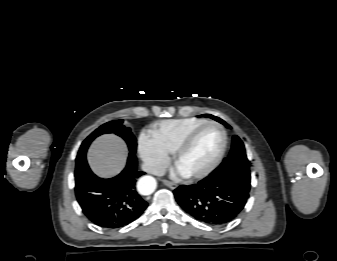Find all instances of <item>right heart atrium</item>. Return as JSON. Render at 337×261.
<instances>
[{
    "label": "right heart atrium",
    "instance_id": "1",
    "mask_svg": "<svg viewBox=\"0 0 337 261\" xmlns=\"http://www.w3.org/2000/svg\"><path fill=\"white\" fill-rule=\"evenodd\" d=\"M138 150L146 169L153 174L163 172L169 162V157L149 134L143 133L139 137Z\"/></svg>",
    "mask_w": 337,
    "mask_h": 261
}]
</instances>
